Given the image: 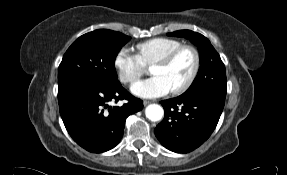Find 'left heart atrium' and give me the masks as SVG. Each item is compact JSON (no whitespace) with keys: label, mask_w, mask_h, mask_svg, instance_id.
Wrapping results in <instances>:
<instances>
[{"label":"left heart atrium","mask_w":287,"mask_h":175,"mask_svg":"<svg viewBox=\"0 0 287 175\" xmlns=\"http://www.w3.org/2000/svg\"><path fill=\"white\" fill-rule=\"evenodd\" d=\"M131 90L135 95L142 98L160 97L171 92L166 80L158 75L136 82Z\"/></svg>","instance_id":"39dd6f15"}]
</instances>
